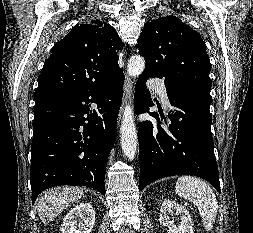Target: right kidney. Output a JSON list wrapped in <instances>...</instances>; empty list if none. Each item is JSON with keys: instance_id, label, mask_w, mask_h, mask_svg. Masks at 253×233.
Wrapping results in <instances>:
<instances>
[{"instance_id": "obj_1", "label": "right kidney", "mask_w": 253, "mask_h": 233, "mask_svg": "<svg viewBox=\"0 0 253 233\" xmlns=\"http://www.w3.org/2000/svg\"><path fill=\"white\" fill-rule=\"evenodd\" d=\"M95 224V211L88 202L72 208L65 216L61 233H91Z\"/></svg>"}]
</instances>
